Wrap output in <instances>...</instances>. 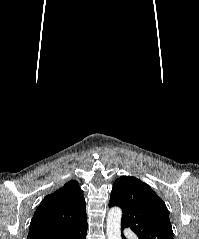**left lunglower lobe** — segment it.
Returning a JSON list of instances; mask_svg holds the SVG:
<instances>
[{"instance_id": "0a47b994", "label": "left lung lower lobe", "mask_w": 199, "mask_h": 239, "mask_svg": "<svg viewBox=\"0 0 199 239\" xmlns=\"http://www.w3.org/2000/svg\"><path fill=\"white\" fill-rule=\"evenodd\" d=\"M124 229V227H121V232ZM122 239H126V237L122 234Z\"/></svg>"}]
</instances>
